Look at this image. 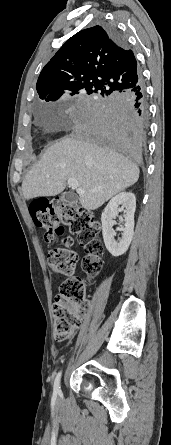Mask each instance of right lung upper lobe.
<instances>
[{
    "instance_id": "cb5924a9",
    "label": "right lung upper lobe",
    "mask_w": 171,
    "mask_h": 445,
    "mask_svg": "<svg viewBox=\"0 0 171 445\" xmlns=\"http://www.w3.org/2000/svg\"><path fill=\"white\" fill-rule=\"evenodd\" d=\"M140 83L137 61L126 43L119 44L106 27L94 26L68 39L41 71L36 89L41 99L56 101L65 90L115 95Z\"/></svg>"
}]
</instances>
